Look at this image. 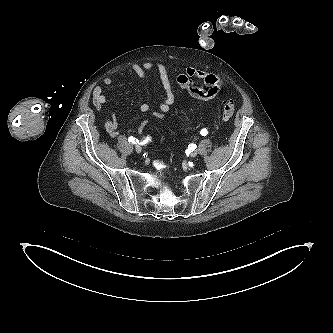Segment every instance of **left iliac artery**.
Returning <instances> with one entry per match:
<instances>
[{
  "mask_svg": "<svg viewBox=\"0 0 333 333\" xmlns=\"http://www.w3.org/2000/svg\"><path fill=\"white\" fill-rule=\"evenodd\" d=\"M200 134H201L202 136H206V135L208 134L207 129H202V130L200 131Z\"/></svg>",
  "mask_w": 333,
  "mask_h": 333,
  "instance_id": "obj_1",
  "label": "left iliac artery"
}]
</instances>
